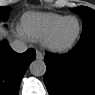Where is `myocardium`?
<instances>
[{"instance_id":"1","label":"myocardium","mask_w":95,"mask_h":95,"mask_svg":"<svg viewBox=\"0 0 95 95\" xmlns=\"http://www.w3.org/2000/svg\"><path fill=\"white\" fill-rule=\"evenodd\" d=\"M69 19H76L78 21V24H79L78 33L72 41L65 43V44L58 43L55 40L56 35L59 32V30L62 28L64 23ZM82 32H83V25H82L81 20L77 16H74V15L66 16L55 27H53L51 29V31L42 40V44H43L44 48H46L50 52L65 53V52L71 50L77 44V42L81 38Z\"/></svg>"}]
</instances>
